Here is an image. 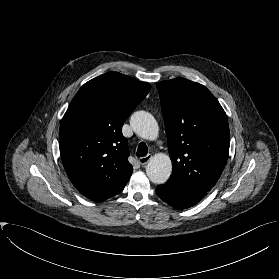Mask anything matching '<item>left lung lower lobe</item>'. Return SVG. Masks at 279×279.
<instances>
[{"label":"left lung lower lobe","instance_id":"1","mask_svg":"<svg viewBox=\"0 0 279 279\" xmlns=\"http://www.w3.org/2000/svg\"><path fill=\"white\" fill-rule=\"evenodd\" d=\"M156 194L164 202L177 209H186L197 204L205 194L167 181L156 188Z\"/></svg>","mask_w":279,"mask_h":279}]
</instances>
